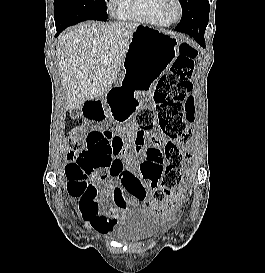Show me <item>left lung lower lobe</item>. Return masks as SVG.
I'll use <instances>...</instances> for the list:
<instances>
[{
    "instance_id": "left-lung-lower-lobe-1",
    "label": "left lung lower lobe",
    "mask_w": 265,
    "mask_h": 273,
    "mask_svg": "<svg viewBox=\"0 0 265 273\" xmlns=\"http://www.w3.org/2000/svg\"><path fill=\"white\" fill-rule=\"evenodd\" d=\"M209 8L208 0H194L190 10L182 14L180 23L176 30L187 33L201 46L205 47L204 32L207 26L205 21V10Z\"/></svg>"
}]
</instances>
